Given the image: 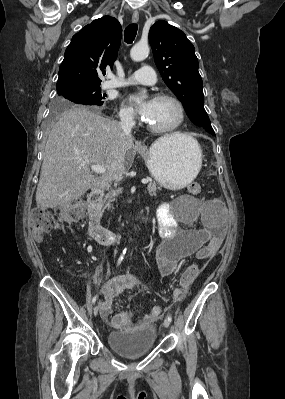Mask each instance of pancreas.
Instances as JSON below:
<instances>
[{"label": "pancreas", "mask_w": 285, "mask_h": 399, "mask_svg": "<svg viewBox=\"0 0 285 399\" xmlns=\"http://www.w3.org/2000/svg\"><path fill=\"white\" fill-rule=\"evenodd\" d=\"M147 190L150 195L156 196L157 191L161 190V188L158 187L155 182L151 181L147 186ZM119 194H121L120 189H110V191L104 197V200L102 202V208H111L112 203L114 201H117Z\"/></svg>", "instance_id": "obj_1"}]
</instances>
